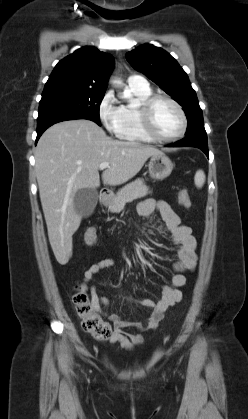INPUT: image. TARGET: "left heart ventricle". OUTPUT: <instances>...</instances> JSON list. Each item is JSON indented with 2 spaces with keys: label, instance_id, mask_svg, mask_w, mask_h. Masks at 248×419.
<instances>
[{
  "label": "left heart ventricle",
  "instance_id": "left-heart-ventricle-1",
  "mask_svg": "<svg viewBox=\"0 0 248 419\" xmlns=\"http://www.w3.org/2000/svg\"><path fill=\"white\" fill-rule=\"evenodd\" d=\"M151 120L155 132L163 137L177 134L181 128V118L176 108L165 100L156 102L151 110Z\"/></svg>",
  "mask_w": 248,
  "mask_h": 419
}]
</instances>
